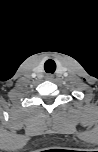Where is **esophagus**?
<instances>
[{"mask_svg":"<svg viewBox=\"0 0 98 152\" xmlns=\"http://www.w3.org/2000/svg\"><path fill=\"white\" fill-rule=\"evenodd\" d=\"M47 80H52L53 79V75L48 73L46 74V77H45Z\"/></svg>","mask_w":98,"mask_h":152,"instance_id":"esophagus-1","label":"esophagus"}]
</instances>
